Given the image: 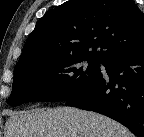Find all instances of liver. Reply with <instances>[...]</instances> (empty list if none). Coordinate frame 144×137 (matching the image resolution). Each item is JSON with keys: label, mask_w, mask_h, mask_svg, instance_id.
<instances>
[{"label": "liver", "mask_w": 144, "mask_h": 137, "mask_svg": "<svg viewBox=\"0 0 144 137\" xmlns=\"http://www.w3.org/2000/svg\"><path fill=\"white\" fill-rule=\"evenodd\" d=\"M5 137H134L120 123L74 107L11 112Z\"/></svg>", "instance_id": "6515ba94"}]
</instances>
